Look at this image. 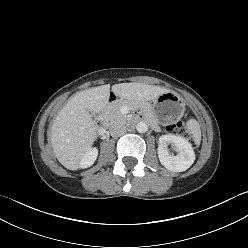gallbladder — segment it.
<instances>
[{
  "instance_id": "gallbladder-1",
  "label": "gallbladder",
  "mask_w": 248,
  "mask_h": 248,
  "mask_svg": "<svg viewBox=\"0 0 248 248\" xmlns=\"http://www.w3.org/2000/svg\"><path fill=\"white\" fill-rule=\"evenodd\" d=\"M91 116H93V113L92 112H89Z\"/></svg>"
}]
</instances>
